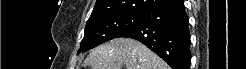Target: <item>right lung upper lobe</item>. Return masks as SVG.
Here are the masks:
<instances>
[{
  "instance_id": "right-lung-upper-lobe-1",
  "label": "right lung upper lobe",
  "mask_w": 246,
  "mask_h": 69,
  "mask_svg": "<svg viewBox=\"0 0 246 69\" xmlns=\"http://www.w3.org/2000/svg\"><path fill=\"white\" fill-rule=\"evenodd\" d=\"M167 0H97L88 21L118 14H142Z\"/></svg>"
}]
</instances>
